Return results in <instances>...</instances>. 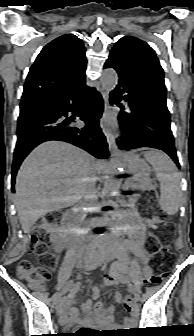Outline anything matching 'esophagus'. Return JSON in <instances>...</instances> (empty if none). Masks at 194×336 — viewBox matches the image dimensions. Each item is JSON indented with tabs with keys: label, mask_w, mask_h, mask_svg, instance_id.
Returning a JSON list of instances; mask_svg holds the SVG:
<instances>
[{
	"label": "esophagus",
	"mask_w": 194,
	"mask_h": 336,
	"mask_svg": "<svg viewBox=\"0 0 194 336\" xmlns=\"http://www.w3.org/2000/svg\"><path fill=\"white\" fill-rule=\"evenodd\" d=\"M103 100H104L103 118H105V116L107 114V111L109 109V105H110V103H109V93L107 91L103 92ZM105 136H106V140H107V143H108V146H109V149L111 150V152L113 154H120V151L117 148L116 141H115V138H114L113 134L109 130H106L105 131Z\"/></svg>",
	"instance_id": "34e87169"
}]
</instances>
